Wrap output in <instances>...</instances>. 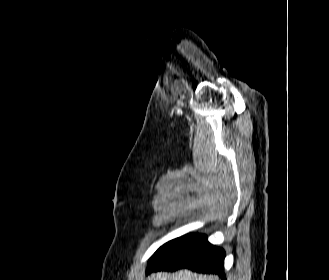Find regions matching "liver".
<instances>
[{
	"label": "liver",
	"instance_id": "6515ba94",
	"mask_svg": "<svg viewBox=\"0 0 329 280\" xmlns=\"http://www.w3.org/2000/svg\"><path fill=\"white\" fill-rule=\"evenodd\" d=\"M150 280H218L212 276L203 277L189 270H180L176 273L159 272L153 274Z\"/></svg>",
	"mask_w": 329,
	"mask_h": 280
}]
</instances>
